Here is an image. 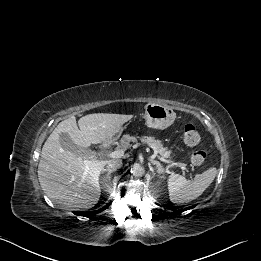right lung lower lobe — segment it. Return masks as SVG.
<instances>
[{
    "label": "right lung lower lobe",
    "mask_w": 261,
    "mask_h": 261,
    "mask_svg": "<svg viewBox=\"0 0 261 261\" xmlns=\"http://www.w3.org/2000/svg\"><path fill=\"white\" fill-rule=\"evenodd\" d=\"M111 203L107 204L105 207L97 210V211H91V212H78L76 213V215H79V216H85V217H91V216H94L95 214L97 213H100L102 211H104L105 209H107L109 206H110Z\"/></svg>",
    "instance_id": "obj_1"
}]
</instances>
